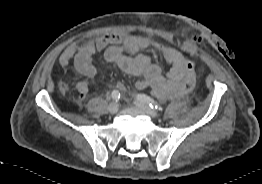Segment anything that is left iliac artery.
<instances>
[{
  "label": "left iliac artery",
  "mask_w": 262,
  "mask_h": 184,
  "mask_svg": "<svg viewBox=\"0 0 262 184\" xmlns=\"http://www.w3.org/2000/svg\"><path fill=\"white\" fill-rule=\"evenodd\" d=\"M137 99L148 104L152 109L163 111L162 106H160L154 99L145 94H138Z\"/></svg>",
  "instance_id": "1"
}]
</instances>
